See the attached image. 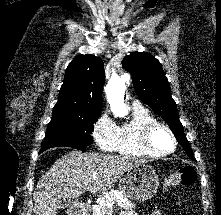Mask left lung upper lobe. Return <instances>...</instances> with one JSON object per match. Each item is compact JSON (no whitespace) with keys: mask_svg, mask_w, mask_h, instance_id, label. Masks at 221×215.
Returning <instances> with one entry per match:
<instances>
[{"mask_svg":"<svg viewBox=\"0 0 221 215\" xmlns=\"http://www.w3.org/2000/svg\"><path fill=\"white\" fill-rule=\"evenodd\" d=\"M122 66L131 73L138 97L168 123L189 158L195 161L160 62L147 52H133L123 59Z\"/></svg>","mask_w":221,"mask_h":215,"instance_id":"left-lung-upper-lobe-1","label":"left lung upper lobe"}]
</instances>
